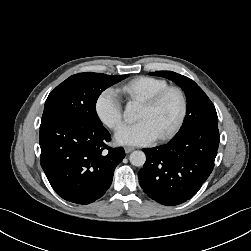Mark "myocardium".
I'll return each instance as SVG.
<instances>
[{"mask_svg": "<svg viewBox=\"0 0 251 251\" xmlns=\"http://www.w3.org/2000/svg\"><path fill=\"white\" fill-rule=\"evenodd\" d=\"M170 93H174L178 97L179 111H178V115H177L175 121L169 127V129L157 137V139L160 141L170 139L172 136L175 135V133L181 127V125L184 121V118L186 116V111H187L186 95H185L184 91L178 86H166L165 88L159 90L158 92H156L155 94H153L149 98L142 101V105H144L145 107L154 108L164 99L165 96H167Z\"/></svg>", "mask_w": 251, "mask_h": 251, "instance_id": "obj_1", "label": "myocardium"}]
</instances>
